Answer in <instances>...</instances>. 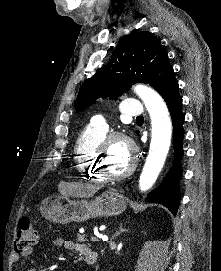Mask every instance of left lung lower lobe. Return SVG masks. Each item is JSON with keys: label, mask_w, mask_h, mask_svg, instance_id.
<instances>
[{"label": "left lung lower lobe", "mask_w": 221, "mask_h": 271, "mask_svg": "<svg viewBox=\"0 0 221 271\" xmlns=\"http://www.w3.org/2000/svg\"><path fill=\"white\" fill-rule=\"evenodd\" d=\"M173 122L174 163L162 183L147 195L148 202L162 203L176 215L179 202V181L182 175L181 158L183 156L182 140L184 138L182 98L178 92V82H173L162 94Z\"/></svg>", "instance_id": "obj_1"}]
</instances>
